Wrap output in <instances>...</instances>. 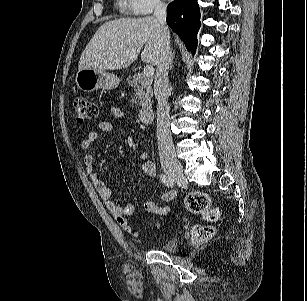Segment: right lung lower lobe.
<instances>
[{"mask_svg":"<svg viewBox=\"0 0 307 301\" xmlns=\"http://www.w3.org/2000/svg\"><path fill=\"white\" fill-rule=\"evenodd\" d=\"M167 24L183 40L186 48L196 52L200 27V8L197 0H176L168 5Z\"/></svg>","mask_w":307,"mask_h":301,"instance_id":"obj_1","label":"right lung lower lobe"}]
</instances>
